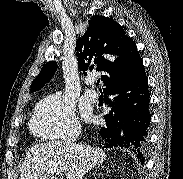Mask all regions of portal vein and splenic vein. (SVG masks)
Wrapping results in <instances>:
<instances>
[{"label": "portal vein and splenic vein", "mask_w": 183, "mask_h": 179, "mask_svg": "<svg viewBox=\"0 0 183 179\" xmlns=\"http://www.w3.org/2000/svg\"><path fill=\"white\" fill-rule=\"evenodd\" d=\"M47 175H50V174H57V175H61L62 176V171L58 168H53V169H50L49 171L46 172Z\"/></svg>", "instance_id": "18ae733b"}]
</instances>
